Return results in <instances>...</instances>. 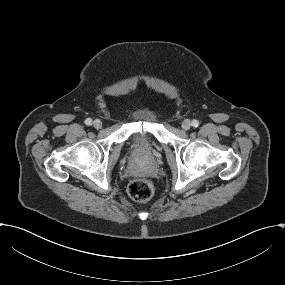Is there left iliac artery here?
Segmentation results:
<instances>
[{
  "mask_svg": "<svg viewBox=\"0 0 285 285\" xmlns=\"http://www.w3.org/2000/svg\"><path fill=\"white\" fill-rule=\"evenodd\" d=\"M192 126L193 127H198L199 126V121L198 120H193L192 121Z\"/></svg>",
  "mask_w": 285,
  "mask_h": 285,
  "instance_id": "obj_1",
  "label": "left iliac artery"
}]
</instances>
